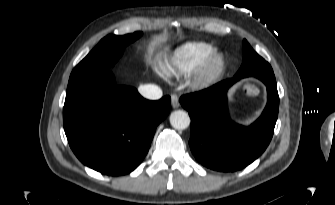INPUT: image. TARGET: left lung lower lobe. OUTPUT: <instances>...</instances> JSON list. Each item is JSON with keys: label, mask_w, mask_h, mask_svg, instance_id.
Returning <instances> with one entry per match:
<instances>
[{"label": "left lung lower lobe", "mask_w": 335, "mask_h": 205, "mask_svg": "<svg viewBox=\"0 0 335 205\" xmlns=\"http://www.w3.org/2000/svg\"><path fill=\"white\" fill-rule=\"evenodd\" d=\"M253 77L266 85L268 101L262 115L248 127L234 123L226 106L227 90L245 77L234 76L180 98L191 118V151L205 167L222 172L240 170L256 160L269 145L278 118L277 84L275 76Z\"/></svg>", "instance_id": "left-lung-lower-lobe-1"}]
</instances>
